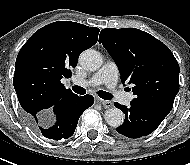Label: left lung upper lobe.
<instances>
[{
	"label": "left lung upper lobe",
	"mask_w": 190,
	"mask_h": 165,
	"mask_svg": "<svg viewBox=\"0 0 190 165\" xmlns=\"http://www.w3.org/2000/svg\"><path fill=\"white\" fill-rule=\"evenodd\" d=\"M99 42L117 64L123 84L133 85L132 102L172 109L179 65L165 44L136 28L103 29Z\"/></svg>",
	"instance_id": "left-lung-upper-lobe-1"
}]
</instances>
